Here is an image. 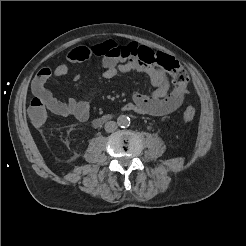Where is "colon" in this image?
<instances>
[{
	"instance_id": "5ec220e1",
	"label": "colon",
	"mask_w": 246,
	"mask_h": 246,
	"mask_svg": "<svg viewBox=\"0 0 246 246\" xmlns=\"http://www.w3.org/2000/svg\"><path fill=\"white\" fill-rule=\"evenodd\" d=\"M136 57L139 61L147 65L160 66L170 77L174 86L180 92H187L188 75L185 69L173 57L162 52H154L147 47H138ZM49 112L48 102L39 95H36L29 104V116L36 126H41L47 119ZM196 111L193 106H188L182 113L184 123L191 122Z\"/></svg>"
}]
</instances>
